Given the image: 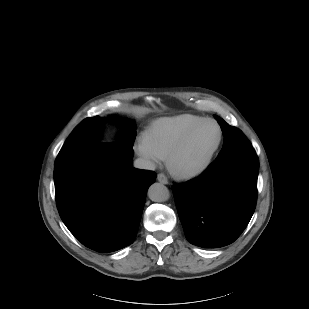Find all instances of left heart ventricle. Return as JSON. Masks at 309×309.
<instances>
[{
    "instance_id": "1",
    "label": "left heart ventricle",
    "mask_w": 309,
    "mask_h": 309,
    "mask_svg": "<svg viewBox=\"0 0 309 309\" xmlns=\"http://www.w3.org/2000/svg\"><path fill=\"white\" fill-rule=\"evenodd\" d=\"M218 139V129L215 124L207 123L200 127L181 150L177 162L186 168L201 164Z\"/></svg>"
}]
</instances>
